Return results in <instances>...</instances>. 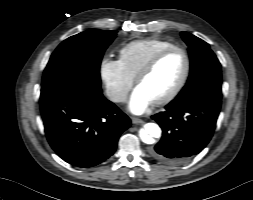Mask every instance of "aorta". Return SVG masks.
I'll return each instance as SVG.
<instances>
[{"instance_id": "1", "label": "aorta", "mask_w": 253, "mask_h": 200, "mask_svg": "<svg viewBox=\"0 0 253 200\" xmlns=\"http://www.w3.org/2000/svg\"><path fill=\"white\" fill-rule=\"evenodd\" d=\"M161 136V129L155 123H147L144 125V130L140 131V138L144 143H153V138Z\"/></svg>"}]
</instances>
